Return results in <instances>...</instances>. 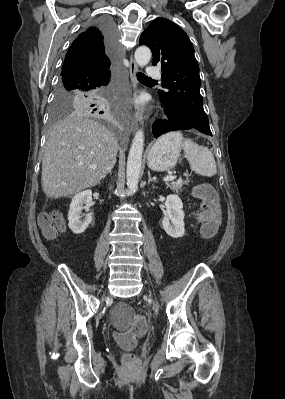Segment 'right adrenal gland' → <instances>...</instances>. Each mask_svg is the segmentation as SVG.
<instances>
[{
  "label": "right adrenal gland",
  "instance_id": "1",
  "mask_svg": "<svg viewBox=\"0 0 285 399\" xmlns=\"http://www.w3.org/2000/svg\"><path fill=\"white\" fill-rule=\"evenodd\" d=\"M113 168V167H112ZM112 168H110L109 170H108V173L110 174V175H112Z\"/></svg>",
  "mask_w": 285,
  "mask_h": 399
}]
</instances>
